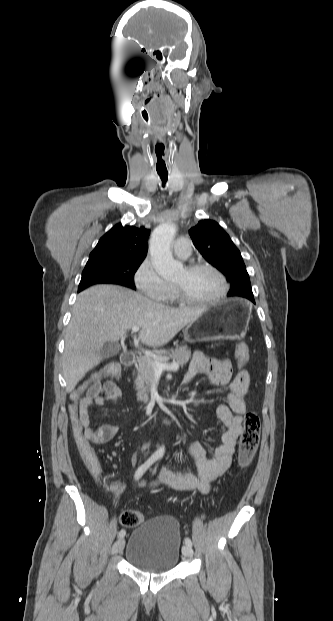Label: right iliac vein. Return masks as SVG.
Wrapping results in <instances>:
<instances>
[{"instance_id":"1","label":"right iliac vein","mask_w":333,"mask_h":621,"mask_svg":"<svg viewBox=\"0 0 333 621\" xmlns=\"http://www.w3.org/2000/svg\"><path fill=\"white\" fill-rule=\"evenodd\" d=\"M124 545H125V540H124L123 538L118 539V540H117V541L113 544V547H112V553H113V554H118V553H120V552L123 550Z\"/></svg>"}]
</instances>
